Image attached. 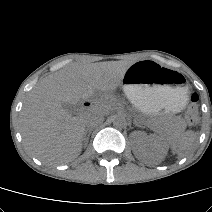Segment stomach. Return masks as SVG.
<instances>
[{
	"label": "stomach",
	"instance_id": "stomach-1",
	"mask_svg": "<svg viewBox=\"0 0 212 212\" xmlns=\"http://www.w3.org/2000/svg\"><path fill=\"white\" fill-rule=\"evenodd\" d=\"M184 82L177 72L153 61L131 65L122 80L124 93L134 107L145 115L183 109L188 93Z\"/></svg>",
	"mask_w": 212,
	"mask_h": 212
}]
</instances>
